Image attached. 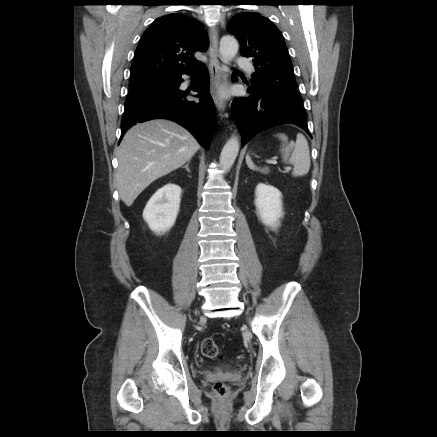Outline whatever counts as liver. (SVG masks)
<instances>
[{
	"label": "liver",
	"instance_id": "obj_1",
	"mask_svg": "<svg viewBox=\"0 0 437 437\" xmlns=\"http://www.w3.org/2000/svg\"><path fill=\"white\" fill-rule=\"evenodd\" d=\"M199 147L188 130L169 120H151L130 128L117 153L116 183L121 200L130 207L153 181L183 166Z\"/></svg>",
	"mask_w": 437,
	"mask_h": 437
}]
</instances>
